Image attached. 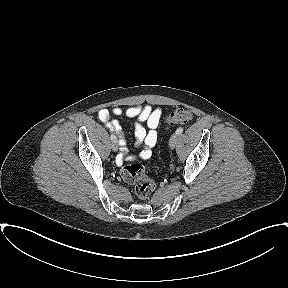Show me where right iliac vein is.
Returning a JSON list of instances; mask_svg holds the SVG:
<instances>
[{
  "label": "right iliac vein",
  "mask_w": 288,
  "mask_h": 288,
  "mask_svg": "<svg viewBox=\"0 0 288 288\" xmlns=\"http://www.w3.org/2000/svg\"><path fill=\"white\" fill-rule=\"evenodd\" d=\"M111 148L113 151H117L118 148H119V143L117 140H113L112 143H111Z\"/></svg>",
  "instance_id": "right-iliac-vein-1"
}]
</instances>
